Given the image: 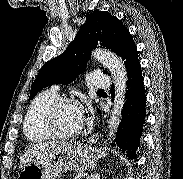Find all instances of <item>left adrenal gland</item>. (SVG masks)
<instances>
[{
	"label": "left adrenal gland",
	"mask_w": 183,
	"mask_h": 179,
	"mask_svg": "<svg viewBox=\"0 0 183 179\" xmlns=\"http://www.w3.org/2000/svg\"><path fill=\"white\" fill-rule=\"evenodd\" d=\"M86 179H100V176L98 174H91Z\"/></svg>",
	"instance_id": "a2214340"
}]
</instances>
